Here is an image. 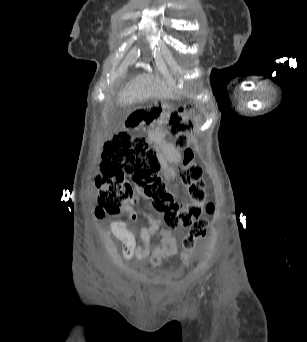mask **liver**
<instances>
[{
    "label": "liver",
    "instance_id": "obj_1",
    "mask_svg": "<svg viewBox=\"0 0 307 342\" xmlns=\"http://www.w3.org/2000/svg\"><path fill=\"white\" fill-rule=\"evenodd\" d=\"M178 90L169 88L166 82L158 74H139L133 80H130L118 94L119 104H136L144 102L150 98H159V100H173L177 98Z\"/></svg>",
    "mask_w": 307,
    "mask_h": 342
}]
</instances>
